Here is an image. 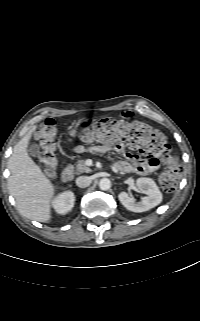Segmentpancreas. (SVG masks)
Wrapping results in <instances>:
<instances>
[{"instance_id": "1", "label": "pancreas", "mask_w": 200, "mask_h": 321, "mask_svg": "<svg viewBox=\"0 0 200 321\" xmlns=\"http://www.w3.org/2000/svg\"><path fill=\"white\" fill-rule=\"evenodd\" d=\"M75 170L77 174L80 173H89L91 171V169L86 165L85 160H79L77 162V165L75 166Z\"/></svg>"}]
</instances>
